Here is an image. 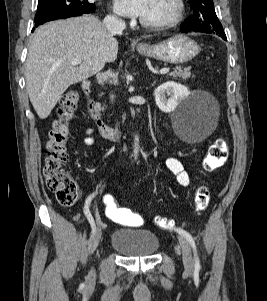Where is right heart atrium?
Returning <instances> with one entry per match:
<instances>
[{"mask_svg": "<svg viewBox=\"0 0 267 301\" xmlns=\"http://www.w3.org/2000/svg\"><path fill=\"white\" fill-rule=\"evenodd\" d=\"M109 19L110 20H118L119 18H118V15L115 12H113L109 15Z\"/></svg>", "mask_w": 267, "mask_h": 301, "instance_id": "1", "label": "right heart atrium"}]
</instances>
